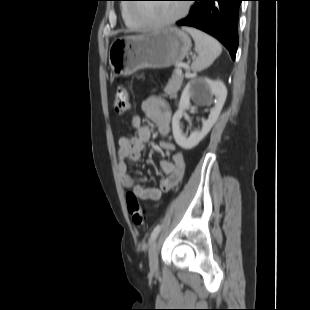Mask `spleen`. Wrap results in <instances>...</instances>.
Listing matches in <instances>:
<instances>
[{
    "label": "spleen",
    "instance_id": "spleen-1",
    "mask_svg": "<svg viewBox=\"0 0 310 310\" xmlns=\"http://www.w3.org/2000/svg\"><path fill=\"white\" fill-rule=\"evenodd\" d=\"M183 29L193 37L195 50L198 53V57L191 65L192 70L199 72L208 68L222 52L220 43L198 29L191 27H184Z\"/></svg>",
    "mask_w": 310,
    "mask_h": 310
}]
</instances>
